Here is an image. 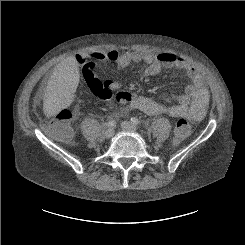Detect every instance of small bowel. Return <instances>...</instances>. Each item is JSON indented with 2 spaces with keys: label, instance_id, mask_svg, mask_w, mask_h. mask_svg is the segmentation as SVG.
Here are the masks:
<instances>
[{
  "label": "small bowel",
  "instance_id": "obj_1",
  "mask_svg": "<svg viewBox=\"0 0 245 245\" xmlns=\"http://www.w3.org/2000/svg\"><path fill=\"white\" fill-rule=\"evenodd\" d=\"M90 57L95 61H113L117 68H125L131 63H145L146 68L142 71V74L146 77L156 76L164 68L182 69L190 78L191 84L182 94L175 96V102L162 104L146 96L138 95L130 102L129 108L139 110L150 116L164 113L174 118L186 117L191 121L200 120L206 113L209 93L203 77L194 66L175 54L114 49L109 51L94 50L91 52ZM75 68L76 62L70 59L60 66L59 71L66 73L68 69ZM106 87L108 90L113 91L122 89L124 85L121 83H109ZM98 95L103 97L100 94Z\"/></svg>",
  "mask_w": 245,
  "mask_h": 245
}]
</instances>
